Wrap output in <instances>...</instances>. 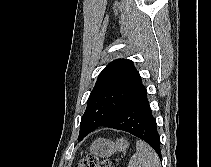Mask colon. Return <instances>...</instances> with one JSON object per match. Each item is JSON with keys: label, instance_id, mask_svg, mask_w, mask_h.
Instances as JSON below:
<instances>
[{"label": "colon", "instance_id": "5ec220e1", "mask_svg": "<svg viewBox=\"0 0 211 167\" xmlns=\"http://www.w3.org/2000/svg\"><path fill=\"white\" fill-rule=\"evenodd\" d=\"M75 167H113L107 160H102L96 156L89 155L82 159Z\"/></svg>", "mask_w": 211, "mask_h": 167}]
</instances>
